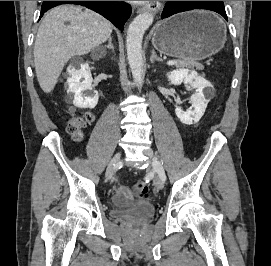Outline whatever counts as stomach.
Masks as SVG:
<instances>
[{
	"instance_id": "0dacf381",
	"label": "stomach",
	"mask_w": 271,
	"mask_h": 266,
	"mask_svg": "<svg viewBox=\"0 0 271 266\" xmlns=\"http://www.w3.org/2000/svg\"><path fill=\"white\" fill-rule=\"evenodd\" d=\"M225 41L223 22L204 10L180 13L158 22L152 37L159 52L182 61L205 59L220 51Z\"/></svg>"
}]
</instances>
